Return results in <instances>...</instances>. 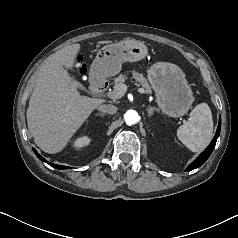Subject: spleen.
Segmentation results:
<instances>
[{"label": "spleen", "instance_id": "obj_1", "mask_svg": "<svg viewBox=\"0 0 238 238\" xmlns=\"http://www.w3.org/2000/svg\"><path fill=\"white\" fill-rule=\"evenodd\" d=\"M213 135V120L207 103H200L191 111L187 122L177 130L178 139L192 152L204 150Z\"/></svg>", "mask_w": 238, "mask_h": 238}]
</instances>
